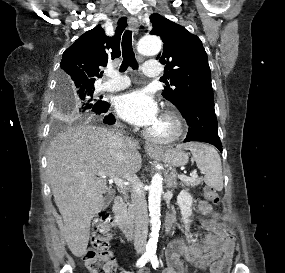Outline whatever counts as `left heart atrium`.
I'll use <instances>...</instances> for the list:
<instances>
[{
    "label": "left heart atrium",
    "mask_w": 285,
    "mask_h": 273,
    "mask_svg": "<svg viewBox=\"0 0 285 273\" xmlns=\"http://www.w3.org/2000/svg\"><path fill=\"white\" fill-rule=\"evenodd\" d=\"M115 107L118 115L133 125L150 129L159 120L157 103L142 90L120 96Z\"/></svg>",
    "instance_id": "left-heart-atrium-1"
}]
</instances>
